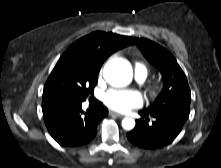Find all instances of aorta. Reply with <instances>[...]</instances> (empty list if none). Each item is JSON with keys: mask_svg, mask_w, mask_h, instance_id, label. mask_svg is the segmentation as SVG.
Wrapping results in <instances>:
<instances>
[{"mask_svg": "<svg viewBox=\"0 0 221 168\" xmlns=\"http://www.w3.org/2000/svg\"><path fill=\"white\" fill-rule=\"evenodd\" d=\"M103 76L107 83L114 87H124L131 83L133 69L129 61L123 58L109 60L103 69ZM122 127L125 130H132L135 127V120L125 117L122 120Z\"/></svg>", "mask_w": 221, "mask_h": 168, "instance_id": "762f6f07", "label": "aorta"}]
</instances>
